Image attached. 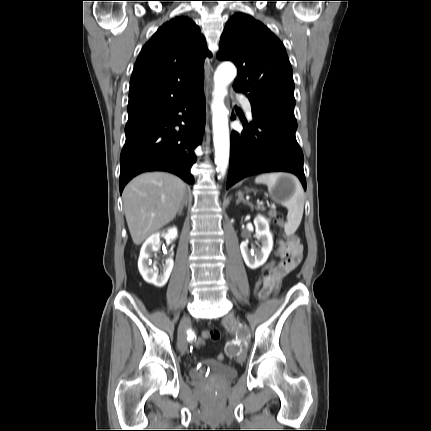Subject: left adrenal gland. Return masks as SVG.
Instances as JSON below:
<instances>
[{"label": "left adrenal gland", "mask_w": 431, "mask_h": 431, "mask_svg": "<svg viewBox=\"0 0 431 431\" xmlns=\"http://www.w3.org/2000/svg\"><path fill=\"white\" fill-rule=\"evenodd\" d=\"M240 202L246 203L251 206V203L243 197L242 192H238V199L236 200V204H239Z\"/></svg>", "instance_id": "1"}]
</instances>
